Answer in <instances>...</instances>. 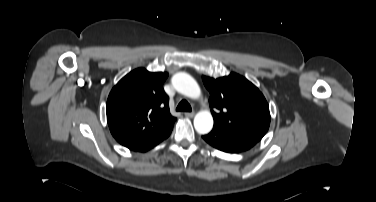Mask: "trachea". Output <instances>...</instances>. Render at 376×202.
I'll use <instances>...</instances> for the list:
<instances>
[{"mask_svg":"<svg viewBox=\"0 0 376 202\" xmlns=\"http://www.w3.org/2000/svg\"><path fill=\"white\" fill-rule=\"evenodd\" d=\"M177 111H186V112H191V106L190 104L186 101V100H182L177 108H176Z\"/></svg>","mask_w":376,"mask_h":202,"instance_id":"1","label":"trachea"}]
</instances>
